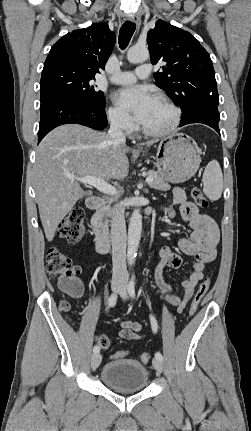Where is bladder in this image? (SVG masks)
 I'll list each match as a JSON object with an SVG mask.
<instances>
[{"mask_svg": "<svg viewBox=\"0 0 251 431\" xmlns=\"http://www.w3.org/2000/svg\"><path fill=\"white\" fill-rule=\"evenodd\" d=\"M100 379L115 392L134 393L147 386L149 373L146 366L136 360L117 359L104 365Z\"/></svg>", "mask_w": 251, "mask_h": 431, "instance_id": "obj_1", "label": "bladder"}]
</instances>
